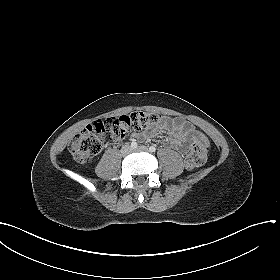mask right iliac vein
Here are the masks:
<instances>
[{"instance_id": "63e3f726", "label": "right iliac vein", "mask_w": 280, "mask_h": 280, "mask_svg": "<svg viewBox=\"0 0 280 280\" xmlns=\"http://www.w3.org/2000/svg\"><path fill=\"white\" fill-rule=\"evenodd\" d=\"M131 151H132V149L129 145L123 146V148L121 150L122 154H129V153H131Z\"/></svg>"}]
</instances>
